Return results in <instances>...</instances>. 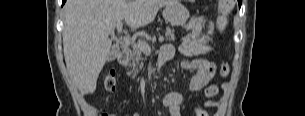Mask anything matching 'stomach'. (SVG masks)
Segmentation results:
<instances>
[{
	"instance_id": "0dacf381",
	"label": "stomach",
	"mask_w": 305,
	"mask_h": 116,
	"mask_svg": "<svg viewBox=\"0 0 305 116\" xmlns=\"http://www.w3.org/2000/svg\"><path fill=\"white\" fill-rule=\"evenodd\" d=\"M163 16L172 26H183L190 15L188 9L179 1H172L163 10Z\"/></svg>"
}]
</instances>
